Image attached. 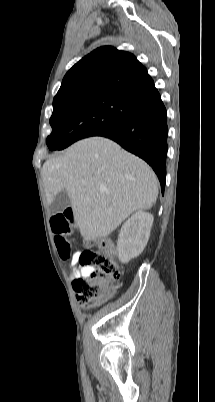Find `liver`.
<instances>
[{
    "label": "liver",
    "instance_id": "obj_1",
    "mask_svg": "<svg viewBox=\"0 0 215 402\" xmlns=\"http://www.w3.org/2000/svg\"><path fill=\"white\" fill-rule=\"evenodd\" d=\"M42 177L49 205L67 192L85 240L108 236L133 212L151 208L158 196L150 166L103 137L80 140L47 160Z\"/></svg>",
    "mask_w": 215,
    "mask_h": 402
}]
</instances>
